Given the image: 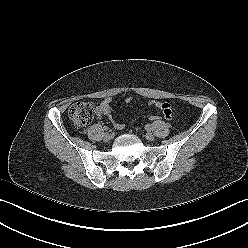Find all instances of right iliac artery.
Segmentation results:
<instances>
[{
	"label": "right iliac artery",
	"instance_id": "right-iliac-artery-1",
	"mask_svg": "<svg viewBox=\"0 0 248 248\" xmlns=\"http://www.w3.org/2000/svg\"><path fill=\"white\" fill-rule=\"evenodd\" d=\"M103 130L106 131V132H107V131H110L108 126H104V127H103Z\"/></svg>",
	"mask_w": 248,
	"mask_h": 248
}]
</instances>
